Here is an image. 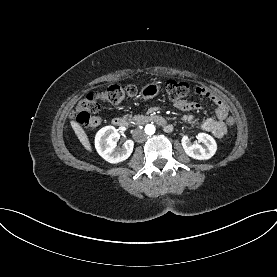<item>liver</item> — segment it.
I'll list each match as a JSON object with an SVG mask.
<instances>
[{
	"instance_id": "liver-1",
	"label": "liver",
	"mask_w": 277,
	"mask_h": 277,
	"mask_svg": "<svg viewBox=\"0 0 277 277\" xmlns=\"http://www.w3.org/2000/svg\"><path fill=\"white\" fill-rule=\"evenodd\" d=\"M71 126H72L76 136L78 137L79 141L84 146V148L86 150H88L89 152H91L92 149H91V145L89 143V139H88L85 131L82 129V127L75 121L71 122Z\"/></svg>"
}]
</instances>
